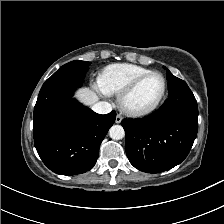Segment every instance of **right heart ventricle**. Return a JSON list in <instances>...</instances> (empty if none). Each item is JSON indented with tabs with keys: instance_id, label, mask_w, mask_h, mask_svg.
Masks as SVG:
<instances>
[{
	"instance_id": "obj_1",
	"label": "right heart ventricle",
	"mask_w": 224,
	"mask_h": 224,
	"mask_svg": "<svg viewBox=\"0 0 224 224\" xmlns=\"http://www.w3.org/2000/svg\"><path fill=\"white\" fill-rule=\"evenodd\" d=\"M151 71L135 64H113L101 72L98 86L106 94H119L135 78Z\"/></svg>"
}]
</instances>
